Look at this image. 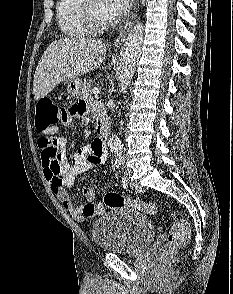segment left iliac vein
I'll list each match as a JSON object with an SVG mask.
<instances>
[{
    "mask_svg": "<svg viewBox=\"0 0 233 294\" xmlns=\"http://www.w3.org/2000/svg\"><path fill=\"white\" fill-rule=\"evenodd\" d=\"M131 171L130 170H126L125 171V176L127 180H130L131 177ZM131 188L136 191V192H140L142 191V187L137 183V182H131L130 183Z\"/></svg>",
    "mask_w": 233,
    "mask_h": 294,
    "instance_id": "1",
    "label": "left iliac vein"
}]
</instances>
